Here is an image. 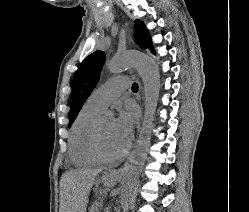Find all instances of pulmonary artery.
Here are the masks:
<instances>
[{"instance_id":"pulmonary-artery-1","label":"pulmonary artery","mask_w":249,"mask_h":212,"mask_svg":"<svg viewBox=\"0 0 249 212\" xmlns=\"http://www.w3.org/2000/svg\"><path fill=\"white\" fill-rule=\"evenodd\" d=\"M128 85L129 79L126 76L111 78L99 86L90 95L88 101L96 108L104 110L128 88Z\"/></svg>"}]
</instances>
